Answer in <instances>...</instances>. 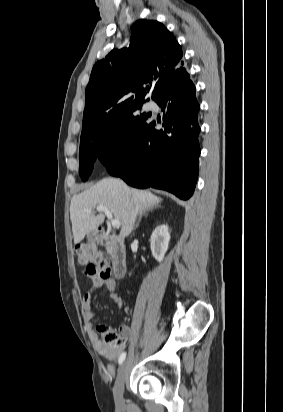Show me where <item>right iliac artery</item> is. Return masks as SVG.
Wrapping results in <instances>:
<instances>
[{"label": "right iliac artery", "mask_w": 283, "mask_h": 412, "mask_svg": "<svg viewBox=\"0 0 283 412\" xmlns=\"http://www.w3.org/2000/svg\"><path fill=\"white\" fill-rule=\"evenodd\" d=\"M125 358H126V352H123V353L120 355L119 360H118L119 365H121V364L123 363V361L125 360Z\"/></svg>", "instance_id": "obj_1"}]
</instances>
